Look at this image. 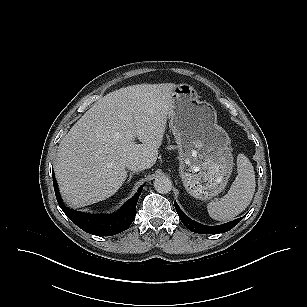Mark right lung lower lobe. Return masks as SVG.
<instances>
[{"mask_svg": "<svg viewBox=\"0 0 307 307\" xmlns=\"http://www.w3.org/2000/svg\"><path fill=\"white\" fill-rule=\"evenodd\" d=\"M52 176L55 195L59 206L67 215V217L72 220V222H74L79 228L86 231L87 233L100 236L115 235L126 230L135 219L136 204L144 185H142L138 189L137 193L130 200H128L118 212L113 215L86 214L83 212L74 211L73 209H69L64 205L58 192L54 173H52Z\"/></svg>", "mask_w": 307, "mask_h": 307, "instance_id": "right-lung-lower-lobe-1", "label": "right lung lower lobe"}]
</instances>
